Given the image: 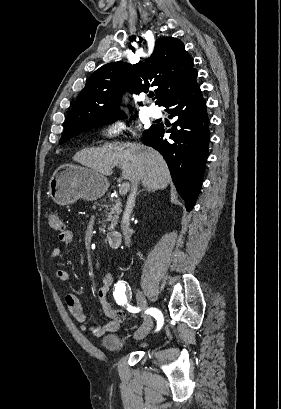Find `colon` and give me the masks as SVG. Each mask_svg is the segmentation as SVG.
Wrapping results in <instances>:
<instances>
[{"label": "colon", "mask_w": 281, "mask_h": 409, "mask_svg": "<svg viewBox=\"0 0 281 409\" xmlns=\"http://www.w3.org/2000/svg\"><path fill=\"white\" fill-rule=\"evenodd\" d=\"M47 222L51 232L62 234L65 232L66 226L60 214L55 210H48L46 213ZM114 320L123 322L125 314L118 307H115L111 312Z\"/></svg>", "instance_id": "colon-1"}]
</instances>
